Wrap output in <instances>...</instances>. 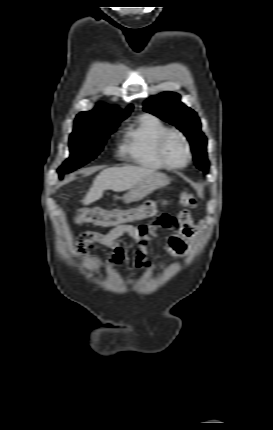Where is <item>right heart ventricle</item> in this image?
I'll list each match as a JSON object with an SVG mask.
<instances>
[{
  "label": "right heart ventricle",
  "mask_w": 273,
  "mask_h": 430,
  "mask_svg": "<svg viewBox=\"0 0 273 430\" xmlns=\"http://www.w3.org/2000/svg\"><path fill=\"white\" fill-rule=\"evenodd\" d=\"M170 128L157 116L142 114L136 118L123 136L122 153L135 164L149 169L166 166L157 153L159 138Z\"/></svg>",
  "instance_id": "e07e8e85"
}]
</instances>
